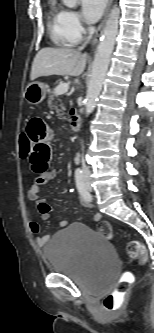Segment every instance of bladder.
<instances>
[{
    "mask_svg": "<svg viewBox=\"0 0 154 333\" xmlns=\"http://www.w3.org/2000/svg\"><path fill=\"white\" fill-rule=\"evenodd\" d=\"M42 254L52 271L100 289L109 286L118 266L111 243L81 222L55 232Z\"/></svg>",
    "mask_w": 154,
    "mask_h": 333,
    "instance_id": "bladder-1",
    "label": "bladder"
}]
</instances>
